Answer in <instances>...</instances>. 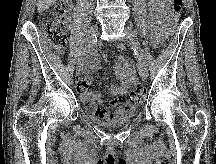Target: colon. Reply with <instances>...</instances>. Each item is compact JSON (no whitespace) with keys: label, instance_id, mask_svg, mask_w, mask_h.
<instances>
[{"label":"colon","instance_id":"obj_1","mask_svg":"<svg viewBox=\"0 0 216 164\" xmlns=\"http://www.w3.org/2000/svg\"><path fill=\"white\" fill-rule=\"evenodd\" d=\"M73 9V0H59L55 7L53 19L45 27V36L57 49L64 47L66 35L70 24V14ZM182 11V0H172V7L168 13V22L177 31L180 14ZM146 98V89L137 86L123 97V101L129 105H139Z\"/></svg>","mask_w":216,"mask_h":164}]
</instances>
